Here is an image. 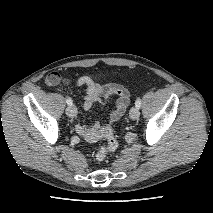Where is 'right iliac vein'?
<instances>
[{"label":"right iliac vein","instance_id":"1","mask_svg":"<svg viewBox=\"0 0 213 213\" xmlns=\"http://www.w3.org/2000/svg\"><path fill=\"white\" fill-rule=\"evenodd\" d=\"M66 114L69 116V117H75L77 115V109L75 106L73 105H70L66 108Z\"/></svg>","mask_w":213,"mask_h":213}]
</instances>
